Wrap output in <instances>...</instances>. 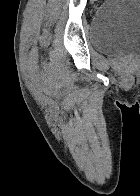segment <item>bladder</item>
<instances>
[{
    "label": "bladder",
    "mask_w": 140,
    "mask_h": 196,
    "mask_svg": "<svg viewBox=\"0 0 140 196\" xmlns=\"http://www.w3.org/2000/svg\"><path fill=\"white\" fill-rule=\"evenodd\" d=\"M90 40L99 52L140 57V0H105L93 15Z\"/></svg>",
    "instance_id": "1"
}]
</instances>
